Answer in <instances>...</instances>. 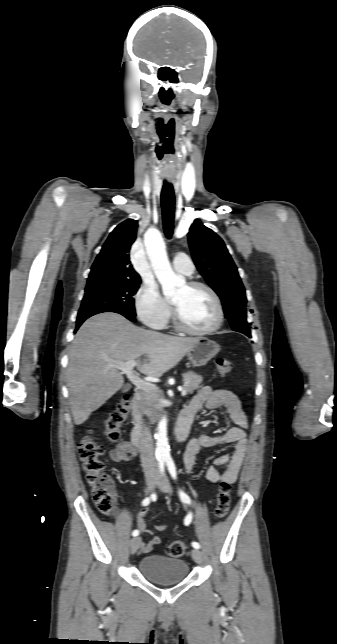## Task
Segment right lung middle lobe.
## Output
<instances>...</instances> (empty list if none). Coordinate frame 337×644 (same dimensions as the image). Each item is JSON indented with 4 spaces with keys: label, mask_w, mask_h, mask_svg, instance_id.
Here are the masks:
<instances>
[{
    "label": "right lung middle lobe",
    "mask_w": 337,
    "mask_h": 644,
    "mask_svg": "<svg viewBox=\"0 0 337 644\" xmlns=\"http://www.w3.org/2000/svg\"><path fill=\"white\" fill-rule=\"evenodd\" d=\"M141 281L99 280L87 282L77 321L102 312L136 316L133 295Z\"/></svg>",
    "instance_id": "obj_1"
}]
</instances>
